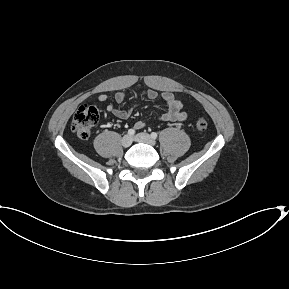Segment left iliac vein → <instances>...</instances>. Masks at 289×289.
Listing matches in <instances>:
<instances>
[{"instance_id": "4c4485c4", "label": "left iliac vein", "mask_w": 289, "mask_h": 289, "mask_svg": "<svg viewBox=\"0 0 289 289\" xmlns=\"http://www.w3.org/2000/svg\"><path fill=\"white\" fill-rule=\"evenodd\" d=\"M134 139L137 142L146 143L151 146H155L156 144V141L147 133H138Z\"/></svg>"}]
</instances>
